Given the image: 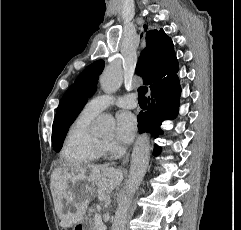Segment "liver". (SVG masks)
<instances>
[{
	"instance_id": "1",
	"label": "liver",
	"mask_w": 241,
	"mask_h": 230,
	"mask_svg": "<svg viewBox=\"0 0 241 230\" xmlns=\"http://www.w3.org/2000/svg\"><path fill=\"white\" fill-rule=\"evenodd\" d=\"M123 180V172L107 165H88L76 168H58L51 175V191L55 211L61 220L60 226L71 227L81 222L89 204V197L95 187L101 198L109 194ZM77 190V193L73 192ZM71 204L75 211H65V204Z\"/></svg>"
}]
</instances>
